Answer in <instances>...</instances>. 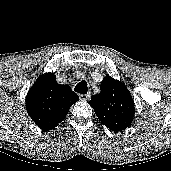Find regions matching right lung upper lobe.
Masks as SVG:
<instances>
[{"mask_svg":"<svg viewBox=\"0 0 171 171\" xmlns=\"http://www.w3.org/2000/svg\"><path fill=\"white\" fill-rule=\"evenodd\" d=\"M79 97L70 86L58 84L54 73L42 74L26 96V110L43 131L59 125Z\"/></svg>","mask_w":171,"mask_h":171,"instance_id":"cb5924a9","label":"right lung upper lobe"}]
</instances>
